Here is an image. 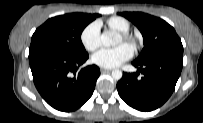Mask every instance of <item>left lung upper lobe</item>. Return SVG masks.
<instances>
[{
    "mask_svg": "<svg viewBox=\"0 0 203 123\" xmlns=\"http://www.w3.org/2000/svg\"><path fill=\"white\" fill-rule=\"evenodd\" d=\"M142 33L144 48L135 60L143 62L166 55H183V46L174 28L166 21L141 12H123Z\"/></svg>",
    "mask_w": 203,
    "mask_h": 123,
    "instance_id": "1",
    "label": "left lung upper lobe"
}]
</instances>
